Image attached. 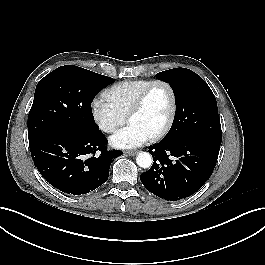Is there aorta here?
Returning <instances> with one entry per match:
<instances>
[{
    "label": "aorta",
    "mask_w": 265,
    "mask_h": 265,
    "mask_svg": "<svg viewBox=\"0 0 265 265\" xmlns=\"http://www.w3.org/2000/svg\"><path fill=\"white\" fill-rule=\"evenodd\" d=\"M153 162L152 156L147 152H140L136 157V163L141 168L151 167Z\"/></svg>",
    "instance_id": "1"
}]
</instances>
